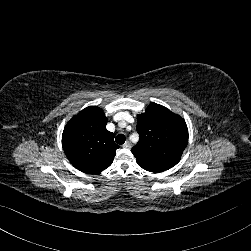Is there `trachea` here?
Segmentation results:
<instances>
[{"instance_id":"obj_1","label":"trachea","mask_w":251,"mask_h":251,"mask_svg":"<svg viewBox=\"0 0 251 251\" xmlns=\"http://www.w3.org/2000/svg\"><path fill=\"white\" fill-rule=\"evenodd\" d=\"M126 140V137L123 135V134H119L116 136V143L119 144V145H122Z\"/></svg>"}]
</instances>
